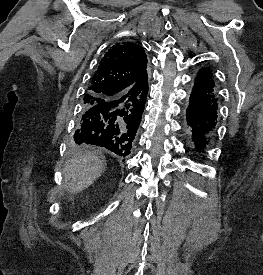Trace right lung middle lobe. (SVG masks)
<instances>
[{
    "instance_id": "1",
    "label": "right lung middle lobe",
    "mask_w": 263,
    "mask_h": 275,
    "mask_svg": "<svg viewBox=\"0 0 263 275\" xmlns=\"http://www.w3.org/2000/svg\"><path fill=\"white\" fill-rule=\"evenodd\" d=\"M102 100L100 98H97V97H94L92 95H88L86 94L84 96V108H89L99 102H101ZM76 149H81L82 147H79V146H75Z\"/></svg>"
}]
</instances>
